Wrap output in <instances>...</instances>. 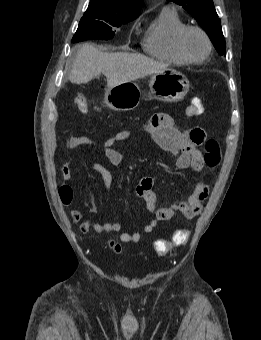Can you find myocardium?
Wrapping results in <instances>:
<instances>
[{"label":"myocardium","instance_id":"1","mask_svg":"<svg viewBox=\"0 0 261 340\" xmlns=\"http://www.w3.org/2000/svg\"><path fill=\"white\" fill-rule=\"evenodd\" d=\"M190 31H197V32H199L204 37V39H205V41L207 43V52H206L205 56L202 57L201 59H193V58H191L190 56L187 55V53L184 50V47H183L184 37ZM175 48H176V51L178 52V54L183 59H185L187 62L193 63V64H199V63L204 62L210 56V54L212 52V49H213V45H212V41H211L209 35L207 34V32L203 28H201V27H199L197 25H185L176 34V37H175Z\"/></svg>","mask_w":261,"mask_h":340}]
</instances>
